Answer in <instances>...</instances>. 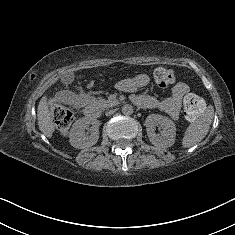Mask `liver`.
Returning a JSON list of instances; mask_svg holds the SVG:
<instances>
[{
	"mask_svg": "<svg viewBox=\"0 0 235 235\" xmlns=\"http://www.w3.org/2000/svg\"><path fill=\"white\" fill-rule=\"evenodd\" d=\"M38 125L40 131L46 136L50 137L54 131L51 124V117L49 111V104L47 102V96H43L38 104L37 108Z\"/></svg>",
	"mask_w": 235,
	"mask_h": 235,
	"instance_id": "1",
	"label": "liver"
}]
</instances>
